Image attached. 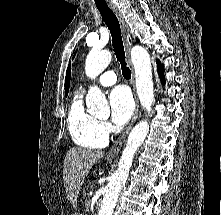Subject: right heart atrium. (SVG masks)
Returning a JSON list of instances; mask_svg holds the SVG:
<instances>
[{"label": "right heart atrium", "instance_id": "1", "mask_svg": "<svg viewBox=\"0 0 221 215\" xmlns=\"http://www.w3.org/2000/svg\"><path fill=\"white\" fill-rule=\"evenodd\" d=\"M100 131L104 136L107 137L112 132V126L107 121H101Z\"/></svg>", "mask_w": 221, "mask_h": 215}]
</instances>
